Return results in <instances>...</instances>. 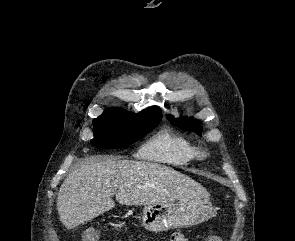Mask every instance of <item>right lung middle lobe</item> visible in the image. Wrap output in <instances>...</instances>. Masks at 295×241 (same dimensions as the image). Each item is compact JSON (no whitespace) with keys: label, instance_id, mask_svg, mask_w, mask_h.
Listing matches in <instances>:
<instances>
[{"label":"right lung middle lobe","instance_id":"1","mask_svg":"<svg viewBox=\"0 0 295 241\" xmlns=\"http://www.w3.org/2000/svg\"><path fill=\"white\" fill-rule=\"evenodd\" d=\"M160 121L161 117L145 112L134 114L120 108H109L93 120L94 138L91 143L108 149L123 148L143 138Z\"/></svg>","mask_w":295,"mask_h":241}]
</instances>
